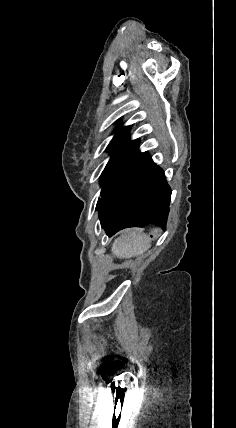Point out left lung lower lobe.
Wrapping results in <instances>:
<instances>
[{"mask_svg": "<svg viewBox=\"0 0 236 428\" xmlns=\"http://www.w3.org/2000/svg\"><path fill=\"white\" fill-rule=\"evenodd\" d=\"M101 197L96 209L108 236L127 227H166L171 189L163 170L147 152L140 153L116 185L102 192Z\"/></svg>", "mask_w": 236, "mask_h": 428, "instance_id": "obj_1", "label": "left lung lower lobe"}]
</instances>
